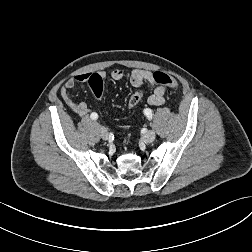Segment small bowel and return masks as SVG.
Here are the masks:
<instances>
[{
    "label": "small bowel",
    "instance_id": "obj_1",
    "mask_svg": "<svg viewBox=\"0 0 252 252\" xmlns=\"http://www.w3.org/2000/svg\"><path fill=\"white\" fill-rule=\"evenodd\" d=\"M89 73L77 75L68 79L60 88V95L66 105L79 117H85L90 114L91 110L83 102H75L69 96V91L77 84L86 82L89 78ZM125 74L120 69H115L111 72V78L113 80H122ZM129 81L132 86L140 87L143 83H146L151 88V95L148 97V103L153 106L163 105L165 102V88L162 85L157 84L154 81L153 74L144 69H134L129 74ZM91 115V114H90Z\"/></svg>",
    "mask_w": 252,
    "mask_h": 252
}]
</instances>
